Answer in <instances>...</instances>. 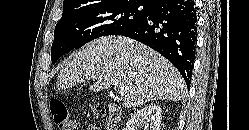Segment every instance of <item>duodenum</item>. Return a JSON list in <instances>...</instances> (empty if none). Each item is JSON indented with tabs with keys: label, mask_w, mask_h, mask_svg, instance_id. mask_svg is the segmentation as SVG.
Segmentation results:
<instances>
[{
	"label": "duodenum",
	"mask_w": 249,
	"mask_h": 130,
	"mask_svg": "<svg viewBox=\"0 0 249 130\" xmlns=\"http://www.w3.org/2000/svg\"><path fill=\"white\" fill-rule=\"evenodd\" d=\"M121 120V110L115 105H110L109 115L105 130H119Z\"/></svg>",
	"instance_id": "1"
}]
</instances>
